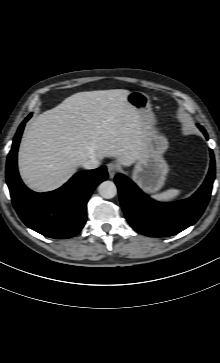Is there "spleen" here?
<instances>
[{"label":"spleen","mask_w":220,"mask_h":363,"mask_svg":"<svg viewBox=\"0 0 220 363\" xmlns=\"http://www.w3.org/2000/svg\"><path fill=\"white\" fill-rule=\"evenodd\" d=\"M179 194L180 190L178 189H168L160 194L154 195L153 198L158 201H170L176 198Z\"/></svg>","instance_id":"3e777b00"}]
</instances>
